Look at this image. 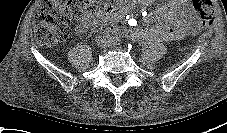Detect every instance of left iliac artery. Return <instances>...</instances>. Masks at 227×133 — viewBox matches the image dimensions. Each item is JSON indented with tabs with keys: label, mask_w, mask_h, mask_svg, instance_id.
Here are the masks:
<instances>
[{
	"label": "left iliac artery",
	"mask_w": 227,
	"mask_h": 133,
	"mask_svg": "<svg viewBox=\"0 0 227 133\" xmlns=\"http://www.w3.org/2000/svg\"><path fill=\"white\" fill-rule=\"evenodd\" d=\"M113 42L115 43V45H119V44L121 43L120 36H119V35H116V36L114 37Z\"/></svg>",
	"instance_id": "left-iliac-artery-1"
}]
</instances>
